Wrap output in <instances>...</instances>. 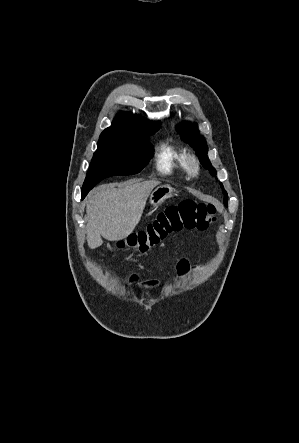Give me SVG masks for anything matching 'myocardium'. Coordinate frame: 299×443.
I'll use <instances>...</instances> for the list:
<instances>
[{"mask_svg": "<svg viewBox=\"0 0 299 443\" xmlns=\"http://www.w3.org/2000/svg\"><path fill=\"white\" fill-rule=\"evenodd\" d=\"M186 167H187V170L192 175H196L198 173V170H199V163H198L197 159L194 156L188 155L187 158H186Z\"/></svg>", "mask_w": 299, "mask_h": 443, "instance_id": "myocardium-1", "label": "myocardium"}]
</instances>
